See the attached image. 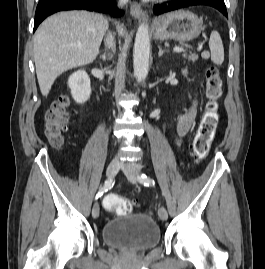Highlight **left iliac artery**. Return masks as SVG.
<instances>
[{
  "instance_id": "1",
  "label": "left iliac artery",
  "mask_w": 265,
  "mask_h": 269,
  "mask_svg": "<svg viewBox=\"0 0 265 269\" xmlns=\"http://www.w3.org/2000/svg\"><path fill=\"white\" fill-rule=\"evenodd\" d=\"M138 180L140 183L144 184L145 186H154L155 181L150 177L146 176L145 174H141L138 176Z\"/></svg>"
}]
</instances>
